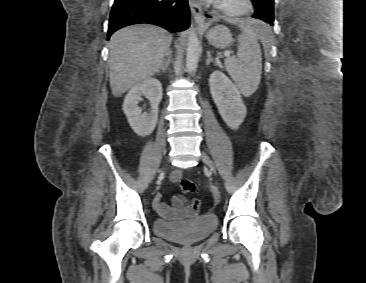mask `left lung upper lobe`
Listing matches in <instances>:
<instances>
[{
  "mask_svg": "<svg viewBox=\"0 0 366 283\" xmlns=\"http://www.w3.org/2000/svg\"><path fill=\"white\" fill-rule=\"evenodd\" d=\"M255 5V17L270 25L274 22V0H252Z\"/></svg>",
  "mask_w": 366,
  "mask_h": 283,
  "instance_id": "1",
  "label": "left lung upper lobe"
}]
</instances>
